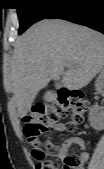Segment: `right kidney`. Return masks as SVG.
Returning <instances> with one entry per match:
<instances>
[{
	"label": "right kidney",
	"mask_w": 104,
	"mask_h": 169,
	"mask_svg": "<svg viewBox=\"0 0 104 169\" xmlns=\"http://www.w3.org/2000/svg\"><path fill=\"white\" fill-rule=\"evenodd\" d=\"M95 87L97 92H100L103 90L104 87V71H101L98 75L95 83ZM89 121L91 126L97 130H103L104 128V114L102 112H99L98 107L93 106L89 113Z\"/></svg>",
	"instance_id": "right-kidney-1"
}]
</instances>
